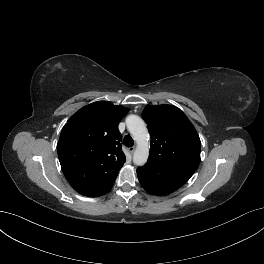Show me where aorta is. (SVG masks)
<instances>
[{"instance_id": "762f6f07", "label": "aorta", "mask_w": 264, "mask_h": 264, "mask_svg": "<svg viewBox=\"0 0 264 264\" xmlns=\"http://www.w3.org/2000/svg\"><path fill=\"white\" fill-rule=\"evenodd\" d=\"M129 132L137 143L133 162L138 166L144 165L149 157L148 131L144 121L137 115H129L126 119Z\"/></svg>"}]
</instances>
